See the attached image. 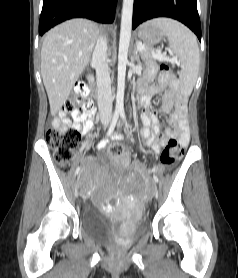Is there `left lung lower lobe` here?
<instances>
[{
    "mask_svg": "<svg viewBox=\"0 0 238 278\" xmlns=\"http://www.w3.org/2000/svg\"><path fill=\"white\" fill-rule=\"evenodd\" d=\"M157 17H169L184 23L201 41L197 0H134L133 29L142 22Z\"/></svg>",
    "mask_w": 238,
    "mask_h": 278,
    "instance_id": "obj_1",
    "label": "left lung lower lobe"
}]
</instances>
